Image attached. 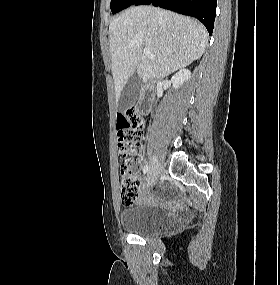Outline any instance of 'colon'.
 Returning <instances> with one entry per match:
<instances>
[{
    "label": "colon",
    "instance_id": "1",
    "mask_svg": "<svg viewBox=\"0 0 280 285\" xmlns=\"http://www.w3.org/2000/svg\"><path fill=\"white\" fill-rule=\"evenodd\" d=\"M117 140L120 154L124 157H135L140 148L145 131L142 115L134 108H128L117 116ZM121 199L124 205H132L137 199L138 183L134 176L121 168Z\"/></svg>",
    "mask_w": 280,
    "mask_h": 285
}]
</instances>
